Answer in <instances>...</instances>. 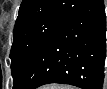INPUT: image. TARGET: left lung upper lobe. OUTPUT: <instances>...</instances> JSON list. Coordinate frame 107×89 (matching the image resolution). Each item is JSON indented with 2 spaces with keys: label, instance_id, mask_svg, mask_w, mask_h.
<instances>
[{
  "label": "left lung upper lobe",
  "instance_id": "5c2ea615",
  "mask_svg": "<svg viewBox=\"0 0 107 89\" xmlns=\"http://www.w3.org/2000/svg\"><path fill=\"white\" fill-rule=\"evenodd\" d=\"M87 1L23 0L10 53L13 84L42 44Z\"/></svg>",
  "mask_w": 107,
  "mask_h": 89
}]
</instances>
